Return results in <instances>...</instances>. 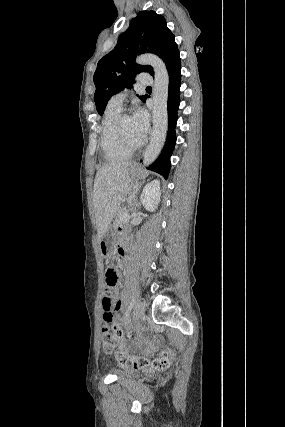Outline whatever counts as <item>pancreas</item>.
<instances>
[{"instance_id":"obj_1","label":"pancreas","mask_w":285,"mask_h":427,"mask_svg":"<svg viewBox=\"0 0 285 427\" xmlns=\"http://www.w3.org/2000/svg\"><path fill=\"white\" fill-rule=\"evenodd\" d=\"M125 213H128V210L126 208H120L118 210V214H117V217H116L115 222H114V224L116 226L120 225L122 223H127L129 221V219H127V220L122 219V217Z\"/></svg>"}]
</instances>
